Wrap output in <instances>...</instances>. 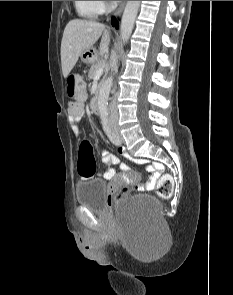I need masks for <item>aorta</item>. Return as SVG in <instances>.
Wrapping results in <instances>:
<instances>
[{"label": "aorta", "instance_id": "aorta-1", "mask_svg": "<svg viewBox=\"0 0 233 295\" xmlns=\"http://www.w3.org/2000/svg\"><path fill=\"white\" fill-rule=\"evenodd\" d=\"M139 7L140 1H127L120 26V35L124 44L127 43L132 33ZM112 81V77H109L99 93L98 109L101 114H106L108 111V96Z\"/></svg>", "mask_w": 233, "mask_h": 295}]
</instances>
